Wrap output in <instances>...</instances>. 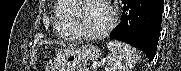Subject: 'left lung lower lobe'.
<instances>
[{
  "instance_id": "0a47b994",
  "label": "left lung lower lobe",
  "mask_w": 181,
  "mask_h": 71,
  "mask_svg": "<svg viewBox=\"0 0 181 71\" xmlns=\"http://www.w3.org/2000/svg\"><path fill=\"white\" fill-rule=\"evenodd\" d=\"M122 3L121 23L110 37L141 49L153 60L160 35L163 0H122Z\"/></svg>"
}]
</instances>
